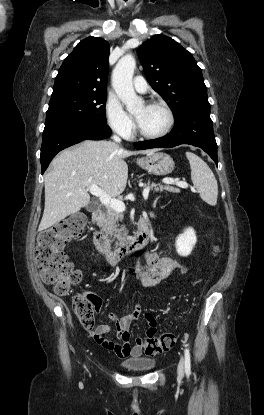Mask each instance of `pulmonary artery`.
<instances>
[{"label": "pulmonary artery", "mask_w": 264, "mask_h": 415, "mask_svg": "<svg viewBox=\"0 0 264 415\" xmlns=\"http://www.w3.org/2000/svg\"><path fill=\"white\" fill-rule=\"evenodd\" d=\"M133 86L136 91L145 93L148 91V84L142 76H135L133 79Z\"/></svg>", "instance_id": "pulmonary-artery-1"}]
</instances>
